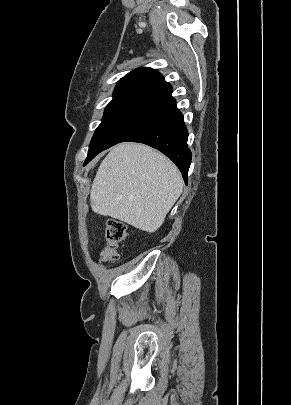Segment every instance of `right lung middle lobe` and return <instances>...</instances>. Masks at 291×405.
I'll return each mask as SVG.
<instances>
[{
  "label": "right lung middle lobe",
  "mask_w": 291,
  "mask_h": 405,
  "mask_svg": "<svg viewBox=\"0 0 291 405\" xmlns=\"http://www.w3.org/2000/svg\"><path fill=\"white\" fill-rule=\"evenodd\" d=\"M172 105L145 100H129L108 104L101 124L91 140L85 164L109 147L153 124L167 114Z\"/></svg>",
  "instance_id": "dd1d6c3e"
}]
</instances>
